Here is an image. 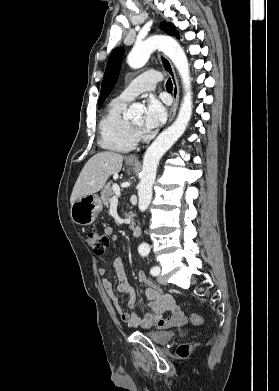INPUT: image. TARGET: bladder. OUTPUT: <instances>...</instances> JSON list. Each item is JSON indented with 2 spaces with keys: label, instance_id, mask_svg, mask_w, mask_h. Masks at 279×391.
Returning <instances> with one entry per match:
<instances>
[{
  "label": "bladder",
  "instance_id": "bladder-1",
  "mask_svg": "<svg viewBox=\"0 0 279 391\" xmlns=\"http://www.w3.org/2000/svg\"><path fill=\"white\" fill-rule=\"evenodd\" d=\"M147 337L157 344H167L175 336L174 331H151L146 333Z\"/></svg>",
  "mask_w": 279,
  "mask_h": 391
}]
</instances>
